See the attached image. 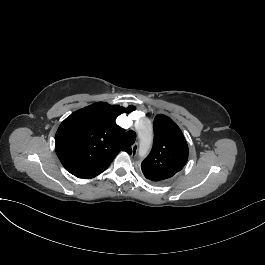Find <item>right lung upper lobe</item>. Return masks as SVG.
<instances>
[{
    "mask_svg": "<svg viewBox=\"0 0 265 265\" xmlns=\"http://www.w3.org/2000/svg\"><path fill=\"white\" fill-rule=\"evenodd\" d=\"M127 108L98 102L77 110L59 126L55 150L63 166L78 178H94L105 171L120 151L132 153L123 140L125 130L115 123Z\"/></svg>",
    "mask_w": 265,
    "mask_h": 265,
    "instance_id": "right-lung-upper-lobe-1",
    "label": "right lung upper lobe"
}]
</instances>
